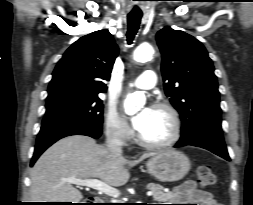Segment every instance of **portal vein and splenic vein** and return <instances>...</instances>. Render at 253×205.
I'll return each instance as SVG.
<instances>
[{"label": "portal vein and splenic vein", "instance_id": "portal-vein-and-splenic-vein-1", "mask_svg": "<svg viewBox=\"0 0 253 205\" xmlns=\"http://www.w3.org/2000/svg\"><path fill=\"white\" fill-rule=\"evenodd\" d=\"M64 181L69 182L71 184H75L77 186H84V187L92 188L94 190H97L101 193H104V194L114 197V198H117L120 195V191L118 189H116L110 185H107L104 182L97 180V179L80 180V179L69 178V179H65ZM152 195H153L152 191L147 192V196H152Z\"/></svg>", "mask_w": 253, "mask_h": 205}]
</instances>
